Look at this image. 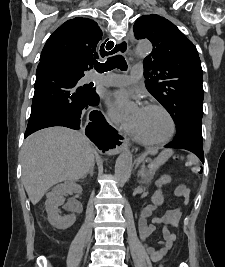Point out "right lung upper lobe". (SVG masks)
<instances>
[{
	"label": "right lung upper lobe",
	"mask_w": 225,
	"mask_h": 267,
	"mask_svg": "<svg viewBox=\"0 0 225 267\" xmlns=\"http://www.w3.org/2000/svg\"><path fill=\"white\" fill-rule=\"evenodd\" d=\"M101 39L102 31L95 21L83 17L68 20L48 38L40 60L60 61L83 73L97 63Z\"/></svg>",
	"instance_id": "cb5924a9"
}]
</instances>
